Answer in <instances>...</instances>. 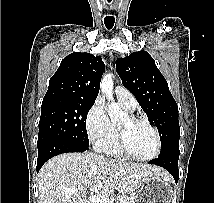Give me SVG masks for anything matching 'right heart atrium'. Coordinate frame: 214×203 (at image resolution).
Masks as SVG:
<instances>
[{
    "label": "right heart atrium",
    "instance_id": "d8ad5b80",
    "mask_svg": "<svg viewBox=\"0 0 214 203\" xmlns=\"http://www.w3.org/2000/svg\"><path fill=\"white\" fill-rule=\"evenodd\" d=\"M85 129L89 140L97 147L113 133L114 125L105 111L103 101L99 98L86 114Z\"/></svg>",
    "mask_w": 214,
    "mask_h": 203
}]
</instances>
